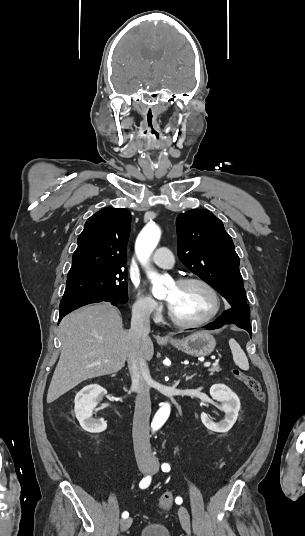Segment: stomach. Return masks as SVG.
Returning <instances> with one entry per match:
<instances>
[{"label": "stomach", "mask_w": 305, "mask_h": 536, "mask_svg": "<svg viewBox=\"0 0 305 536\" xmlns=\"http://www.w3.org/2000/svg\"><path fill=\"white\" fill-rule=\"evenodd\" d=\"M171 344L184 354L197 356V358L209 356L216 346L215 338L211 336L210 332H195L183 340H171Z\"/></svg>", "instance_id": "0dacf381"}]
</instances>
